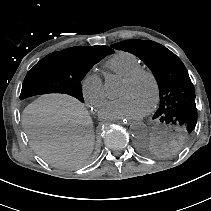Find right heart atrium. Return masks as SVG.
I'll return each instance as SVG.
<instances>
[{
	"instance_id": "d8ad5b80",
	"label": "right heart atrium",
	"mask_w": 211,
	"mask_h": 211,
	"mask_svg": "<svg viewBox=\"0 0 211 211\" xmlns=\"http://www.w3.org/2000/svg\"><path fill=\"white\" fill-rule=\"evenodd\" d=\"M81 93L86 103L92 107H99L106 98L103 78L95 73H87L80 84Z\"/></svg>"
}]
</instances>
